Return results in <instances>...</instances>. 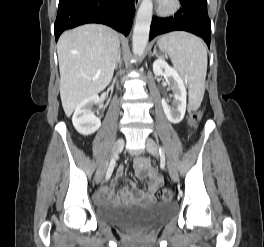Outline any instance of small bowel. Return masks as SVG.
I'll return each mask as SVG.
<instances>
[{
  "mask_svg": "<svg viewBox=\"0 0 264 247\" xmlns=\"http://www.w3.org/2000/svg\"><path fill=\"white\" fill-rule=\"evenodd\" d=\"M134 168L138 178H148L149 180V186L146 193L141 192L136 186H134L132 192H129L127 188H124L118 196H114L113 188L116 186L118 179L123 176V168L120 167L117 171L116 178L111 184L107 187L101 188L97 192L95 196L96 200L101 203L124 199H145L151 201L162 184V177L145 157H137L134 162Z\"/></svg>",
  "mask_w": 264,
  "mask_h": 247,
  "instance_id": "obj_1",
  "label": "small bowel"
}]
</instances>
